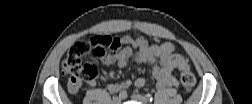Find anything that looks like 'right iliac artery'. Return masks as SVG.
I'll return each mask as SVG.
<instances>
[{
    "label": "right iliac artery",
    "mask_w": 252,
    "mask_h": 104,
    "mask_svg": "<svg viewBox=\"0 0 252 104\" xmlns=\"http://www.w3.org/2000/svg\"><path fill=\"white\" fill-rule=\"evenodd\" d=\"M119 97L122 98V99H125L127 97V92L126 91L120 92Z\"/></svg>",
    "instance_id": "82829eb1"
}]
</instances>
